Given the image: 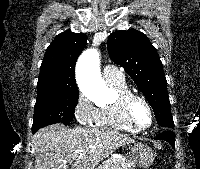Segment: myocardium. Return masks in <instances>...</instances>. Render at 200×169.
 <instances>
[{"label":"myocardium","mask_w":200,"mask_h":169,"mask_svg":"<svg viewBox=\"0 0 200 169\" xmlns=\"http://www.w3.org/2000/svg\"><path fill=\"white\" fill-rule=\"evenodd\" d=\"M136 101H141L142 103H144L149 111L150 121H149L148 125L145 127L137 126L132 118V114H131L132 106ZM121 110H122V115H123L125 122L135 132H144L153 125V122H154L153 108H152L150 102L142 95H139L136 93H129V94L123 96L121 99Z\"/></svg>","instance_id":"1"}]
</instances>
